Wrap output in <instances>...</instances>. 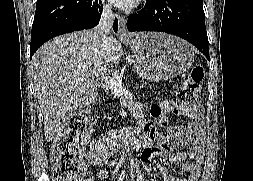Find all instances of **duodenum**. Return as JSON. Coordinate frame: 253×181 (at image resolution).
Listing matches in <instances>:
<instances>
[{"label": "duodenum", "instance_id": "obj_1", "mask_svg": "<svg viewBox=\"0 0 253 181\" xmlns=\"http://www.w3.org/2000/svg\"><path fill=\"white\" fill-rule=\"evenodd\" d=\"M87 105L86 106H84V111H87ZM115 135L116 136H120V137H127V136H129V134H128V132L127 131H125V130H119V131H117L116 133H115Z\"/></svg>", "mask_w": 253, "mask_h": 181}]
</instances>
